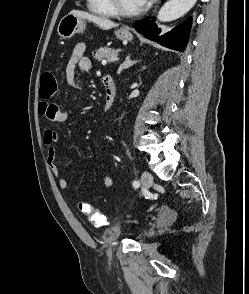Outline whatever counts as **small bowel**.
I'll use <instances>...</instances> for the list:
<instances>
[{"instance_id": "c3829d8e", "label": "small bowel", "mask_w": 249, "mask_h": 294, "mask_svg": "<svg viewBox=\"0 0 249 294\" xmlns=\"http://www.w3.org/2000/svg\"><path fill=\"white\" fill-rule=\"evenodd\" d=\"M85 44L78 43L72 50L67 60L65 73L67 81L74 87H77L75 82L76 71L79 70L83 73H88L92 68V63L88 57L84 55ZM39 114L46 120L49 126L45 130L44 144L48 149V163L50 170L56 178L58 185L61 189L66 190L69 187V183L65 178L63 172L59 169L57 158V143L59 141V135L50 127L51 124H59L65 122L71 115L72 111L69 109H62L56 104L40 102ZM103 185L105 188H110L113 185L111 176L105 175L103 177ZM173 216V212L166 210L162 211V219L168 220Z\"/></svg>"}]
</instances>
